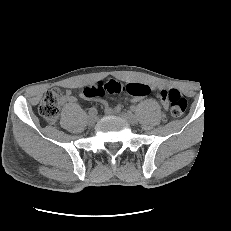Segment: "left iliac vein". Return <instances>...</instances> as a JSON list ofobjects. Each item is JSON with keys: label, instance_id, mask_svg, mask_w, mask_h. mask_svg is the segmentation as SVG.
<instances>
[{"label": "left iliac vein", "instance_id": "1", "mask_svg": "<svg viewBox=\"0 0 231 231\" xmlns=\"http://www.w3.org/2000/svg\"><path fill=\"white\" fill-rule=\"evenodd\" d=\"M121 116L131 125L137 124V118L131 112H123Z\"/></svg>", "mask_w": 231, "mask_h": 231}]
</instances>
